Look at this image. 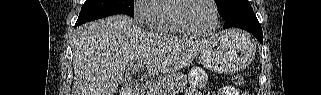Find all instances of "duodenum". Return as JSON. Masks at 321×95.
Here are the masks:
<instances>
[{
	"label": "duodenum",
	"instance_id": "duodenum-1",
	"mask_svg": "<svg viewBox=\"0 0 321 95\" xmlns=\"http://www.w3.org/2000/svg\"><path fill=\"white\" fill-rule=\"evenodd\" d=\"M121 95H132L131 93L127 92V91H122Z\"/></svg>",
	"mask_w": 321,
	"mask_h": 95
}]
</instances>
